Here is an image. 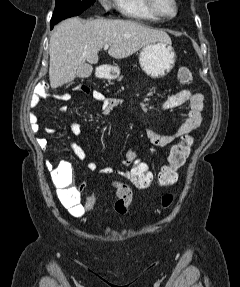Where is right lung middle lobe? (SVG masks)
<instances>
[{
	"instance_id": "right-lung-middle-lobe-1",
	"label": "right lung middle lobe",
	"mask_w": 240,
	"mask_h": 287,
	"mask_svg": "<svg viewBox=\"0 0 240 287\" xmlns=\"http://www.w3.org/2000/svg\"><path fill=\"white\" fill-rule=\"evenodd\" d=\"M94 2L95 0H56L51 25H55L63 19L81 14Z\"/></svg>"
}]
</instances>
